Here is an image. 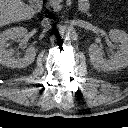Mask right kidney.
Here are the masks:
<instances>
[{"instance_id": "ca27d5eb", "label": "right kidney", "mask_w": 128, "mask_h": 128, "mask_svg": "<svg viewBox=\"0 0 128 128\" xmlns=\"http://www.w3.org/2000/svg\"><path fill=\"white\" fill-rule=\"evenodd\" d=\"M26 33L27 29L24 27H13L0 33V64L11 68H24L34 61L36 56V48L34 46L28 47L22 58L13 56L14 49H6L9 40L19 41Z\"/></svg>"}]
</instances>
